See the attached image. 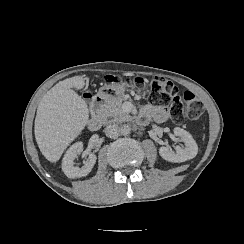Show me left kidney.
Wrapping results in <instances>:
<instances>
[{"label": "left kidney", "instance_id": "left-kidney-1", "mask_svg": "<svg viewBox=\"0 0 244 244\" xmlns=\"http://www.w3.org/2000/svg\"><path fill=\"white\" fill-rule=\"evenodd\" d=\"M173 131L174 134L179 136L182 142L185 143V148L176 146V152H174L170 147L163 146L159 149L160 156L163 159L174 163H180L193 159L198 153V146L192 135L180 127H175Z\"/></svg>", "mask_w": 244, "mask_h": 244}]
</instances>
